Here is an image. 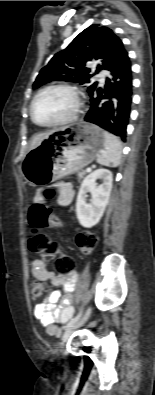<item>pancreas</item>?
I'll list each match as a JSON object with an SVG mask.
<instances>
[{
  "instance_id": "cf45deb5",
  "label": "pancreas",
  "mask_w": 155,
  "mask_h": 395,
  "mask_svg": "<svg viewBox=\"0 0 155 395\" xmlns=\"http://www.w3.org/2000/svg\"><path fill=\"white\" fill-rule=\"evenodd\" d=\"M85 174H86L85 171L78 172V177H79V179H82V178L84 177Z\"/></svg>"
}]
</instances>
